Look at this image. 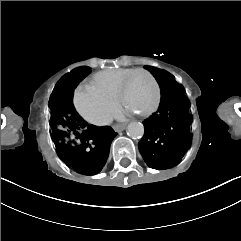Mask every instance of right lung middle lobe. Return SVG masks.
<instances>
[{"label":"right lung middle lobe","mask_w":241,"mask_h":241,"mask_svg":"<svg viewBox=\"0 0 241 241\" xmlns=\"http://www.w3.org/2000/svg\"><path fill=\"white\" fill-rule=\"evenodd\" d=\"M90 70V68H88ZM68 75V74H67ZM63 76L56 84L53 94L50 97V127L54 143H72L74 134L68 125V118L64 105L67 101H73V94L68 92L66 77Z\"/></svg>","instance_id":"right-lung-middle-lobe-1"}]
</instances>
